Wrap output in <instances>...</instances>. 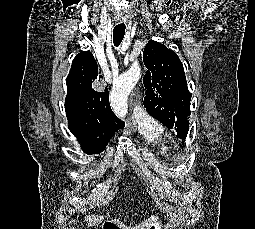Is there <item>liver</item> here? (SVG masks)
<instances>
[{
	"label": "liver",
	"instance_id": "1",
	"mask_svg": "<svg viewBox=\"0 0 255 229\" xmlns=\"http://www.w3.org/2000/svg\"><path fill=\"white\" fill-rule=\"evenodd\" d=\"M104 219V216H86L85 221L88 223V226H96L101 223ZM157 220V216H151L146 221L141 224L136 225L135 227H127L123 223L119 222V220H115L114 223L120 226L122 229H149Z\"/></svg>",
	"mask_w": 255,
	"mask_h": 229
}]
</instances>
